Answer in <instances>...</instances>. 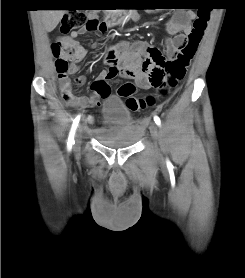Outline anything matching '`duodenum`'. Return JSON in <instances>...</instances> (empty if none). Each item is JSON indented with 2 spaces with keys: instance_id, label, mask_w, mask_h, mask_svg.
Wrapping results in <instances>:
<instances>
[{
  "instance_id": "duodenum-1",
  "label": "duodenum",
  "mask_w": 245,
  "mask_h": 278,
  "mask_svg": "<svg viewBox=\"0 0 245 278\" xmlns=\"http://www.w3.org/2000/svg\"><path fill=\"white\" fill-rule=\"evenodd\" d=\"M123 20V17L121 15H110L106 18L105 24L108 25H113V24H118Z\"/></svg>"
}]
</instances>
